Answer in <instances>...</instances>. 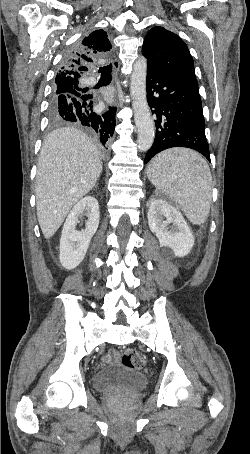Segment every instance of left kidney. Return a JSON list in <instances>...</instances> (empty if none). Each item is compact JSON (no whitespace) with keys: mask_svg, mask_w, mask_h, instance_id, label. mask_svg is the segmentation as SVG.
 I'll list each match as a JSON object with an SVG mask.
<instances>
[{"mask_svg":"<svg viewBox=\"0 0 250 454\" xmlns=\"http://www.w3.org/2000/svg\"><path fill=\"white\" fill-rule=\"evenodd\" d=\"M147 217L149 228L158 237L164 254L184 257L190 253L195 239L176 207L162 198H154Z\"/></svg>","mask_w":250,"mask_h":454,"instance_id":"obj_1","label":"left kidney"}]
</instances>
